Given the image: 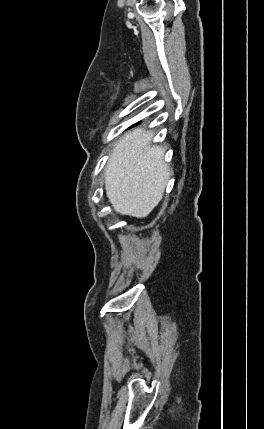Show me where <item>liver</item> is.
I'll return each mask as SVG.
<instances>
[{
	"mask_svg": "<svg viewBox=\"0 0 264 429\" xmlns=\"http://www.w3.org/2000/svg\"><path fill=\"white\" fill-rule=\"evenodd\" d=\"M152 136L142 129L125 134L106 165V195L121 215L145 218L162 199L171 170L165 149L150 145Z\"/></svg>",
	"mask_w": 264,
	"mask_h": 429,
	"instance_id": "1",
	"label": "liver"
}]
</instances>
